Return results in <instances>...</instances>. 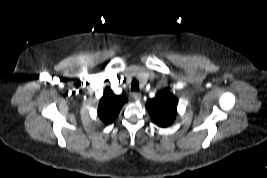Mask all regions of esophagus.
Listing matches in <instances>:
<instances>
[{
	"label": "esophagus",
	"mask_w": 267,
	"mask_h": 178,
	"mask_svg": "<svg viewBox=\"0 0 267 178\" xmlns=\"http://www.w3.org/2000/svg\"><path fill=\"white\" fill-rule=\"evenodd\" d=\"M132 97L136 100L139 101L141 99V94L139 92H133Z\"/></svg>",
	"instance_id": "34e87169"
}]
</instances>
